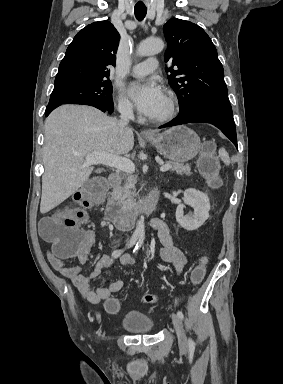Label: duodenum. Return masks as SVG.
<instances>
[{"label":"duodenum","mask_w":283,"mask_h":384,"mask_svg":"<svg viewBox=\"0 0 283 384\" xmlns=\"http://www.w3.org/2000/svg\"><path fill=\"white\" fill-rule=\"evenodd\" d=\"M109 181L113 186L121 183V176L118 172H113L109 176ZM159 201L158 189H153L144 200L133 211H124L117 204L109 202L104 208L105 218L116 228L125 230L133 227L139 218L150 214Z\"/></svg>","instance_id":"duodenum-1"}]
</instances>
